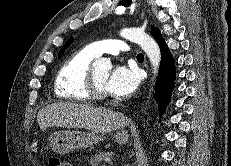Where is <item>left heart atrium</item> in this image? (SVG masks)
Segmentation results:
<instances>
[{"mask_svg": "<svg viewBox=\"0 0 231 166\" xmlns=\"http://www.w3.org/2000/svg\"><path fill=\"white\" fill-rule=\"evenodd\" d=\"M139 72L134 67L117 66L108 76L105 89L115 97H129L139 86Z\"/></svg>", "mask_w": 231, "mask_h": 166, "instance_id": "obj_1", "label": "left heart atrium"}]
</instances>
